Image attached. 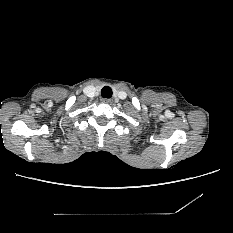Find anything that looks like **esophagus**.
Returning <instances> with one entry per match:
<instances>
[{
    "instance_id": "obj_1",
    "label": "esophagus",
    "mask_w": 233,
    "mask_h": 233,
    "mask_svg": "<svg viewBox=\"0 0 233 233\" xmlns=\"http://www.w3.org/2000/svg\"><path fill=\"white\" fill-rule=\"evenodd\" d=\"M101 102H102V103H105V104H108V103L111 102V100L108 99V98H102V99H101Z\"/></svg>"
}]
</instances>
